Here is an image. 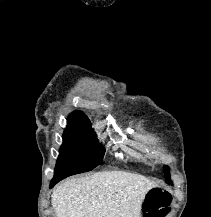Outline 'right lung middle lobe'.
Segmentation results:
<instances>
[{
    "instance_id": "obj_1",
    "label": "right lung middle lobe",
    "mask_w": 211,
    "mask_h": 217,
    "mask_svg": "<svg viewBox=\"0 0 211 217\" xmlns=\"http://www.w3.org/2000/svg\"><path fill=\"white\" fill-rule=\"evenodd\" d=\"M104 152L105 149L96 140L95 132L90 127H67L63 134V144L59 151L53 179H64L92 170L101 164Z\"/></svg>"
}]
</instances>
